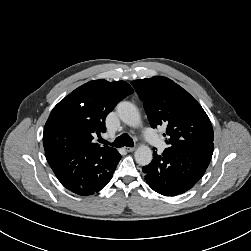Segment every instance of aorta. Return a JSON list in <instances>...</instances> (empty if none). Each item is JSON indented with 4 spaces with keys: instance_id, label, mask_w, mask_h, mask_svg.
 Segmentation results:
<instances>
[{
    "instance_id": "762f6f07",
    "label": "aorta",
    "mask_w": 251,
    "mask_h": 251,
    "mask_svg": "<svg viewBox=\"0 0 251 251\" xmlns=\"http://www.w3.org/2000/svg\"><path fill=\"white\" fill-rule=\"evenodd\" d=\"M118 117L127 125L135 127L141 123L140 114L136 106L130 102L122 101L116 106ZM135 161L146 166L152 161V151L148 146L141 145L135 151Z\"/></svg>"
}]
</instances>
